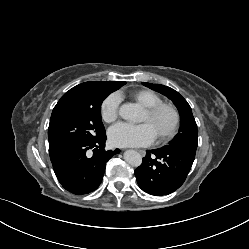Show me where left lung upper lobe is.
I'll return each mask as SVG.
<instances>
[{"label": "left lung upper lobe", "instance_id": "5c2ea615", "mask_svg": "<svg viewBox=\"0 0 249 249\" xmlns=\"http://www.w3.org/2000/svg\"><path fill=\"white\" fill-rule=\"evenodd\" d=\"M173 101L180 114V129L178 134L163 148L167 149H189L196 151L197 149V124L192 114V110L187 101L174 89L151 83H142Z\"/></svg>", "mask_w": 249, "mask_h": 249}]
</instances>
